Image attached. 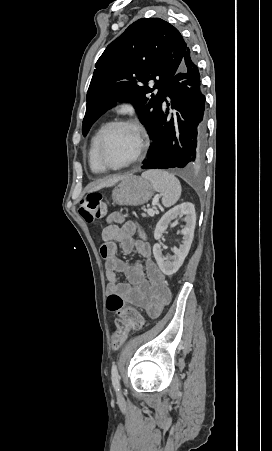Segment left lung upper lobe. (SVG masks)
Instances as JSON below:
<instances>
[{
  "label": "left lung upper lobe",
  "mask_w": 272,
  "mask_h": 451,
  "mask_svg": "<svg viewBox=\"0 0 272 451\" xmlns=\"http://www.w3.org/2000/svg\"><path fill=\"white\" fill-rule=\"evenodd\" d=\"M187 44L180 32L160 18H142L111 42L98 59L87 92L82 133L117 101L131 102L148 125L152 139L171 79L179 70ZM154 82L153 88L147 85ZM152 93L151 98L147 94Z\"/></svg>",
  "instance_id": "1"
}]
</instances>
